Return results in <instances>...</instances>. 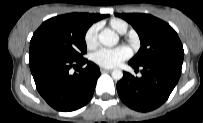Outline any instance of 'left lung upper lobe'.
<instances>
[{
    "label": "left lung upper lobe",
    "mask_w": 203,
    "mask_h": 123,
    "mask_svg": "<svg viewBox=\"0 0 203 123\" xmlns=\"http://www.w3.org/2000/svg\"><path fill=\"white\" fill-rule=\"evenodd\" d=\"M137 31L141 48L129 62L143 65L158 60H181L184 58L183 45L176 31L166 22L149 14H116Z\"/></svg>",
    "instance_id": "1"
}]
</instances>
